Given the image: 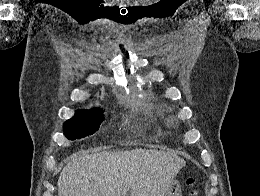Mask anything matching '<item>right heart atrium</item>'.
Instances as JSON below:
<instances>
[{
  "label": "right heart atrium",
  "instance_id": "d8ad5b80",
  "mask_svg": "<svg viewBox=\"0 0 260 196\" xmlns=\"http://www.w3.org/2000/svg\"><path fill=\"white\" fill-rule=\"evenodd\" d=\"M132 192H152V190H131Z\"/></svg>",
  "mask_w": 260,
  "mask_h": 196
}]
</instances>
